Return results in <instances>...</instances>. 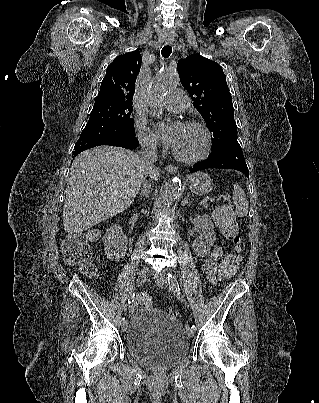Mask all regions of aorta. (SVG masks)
<instances>
[{
    "mask_svg": "<svg viewBox=\"0 0 319 403\" xmlns=\"http://www.w3.org/2000/svg\"><path fill=\"white\" fill-rule=\"evenodd\" d=\"M178 84V77L166 69L160 71L151 81L149 86V94L153 105V115L156 118H161L162 109L157 104L159 98L163 96L168 90L175 87ZM181 191V182L178 178L173 179L166 186L162 202L165 207L171 206Z\"/></svg>",
    "mask_w": 319,
    "mask_h": 403,
    "instance_id": "aorta-1",
    "label": "aorta"
}]
</instances>
